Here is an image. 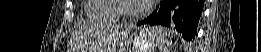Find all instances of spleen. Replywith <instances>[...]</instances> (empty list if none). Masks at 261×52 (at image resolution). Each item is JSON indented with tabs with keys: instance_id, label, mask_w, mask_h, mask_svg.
I'll return each instance as SVG.
<instances>
[{
	"instance_id": "spleen-1",
	"label": "spleen",
	"mask_w": 261,
	"mask_h": 52,
	"mask_svg": "<svg viewBox=\"0 0 261 52\" xmlns=\"http://www.w3.org/2000/svg\"><path fill=\"white\" fill-rule=\"evenodd\" d=\"M155 29H158V33L160 35V41L158 45L160 52H168L169 46L171 44V41H169V35L164 32L162 28L155 27Z\"/></svg>"
}]
</instances>
